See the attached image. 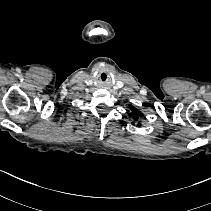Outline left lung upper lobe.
Instances as JSON below:
<instances>
[{
    "label": "left lung upper lobe",
    "mask_w": 211,
    "mask_h": 211,
    "mask_svg": "<svg viewBox=\"0 0 211 211\" xmlns=\"http://www.w3.org/2000/svg\"><path fill=\"white\" fill-rule=\"evenodd\" d=\"M130 109H131V116L134 118V120H138L139 117L143 116V114L136 108L130 107ZM138 126H140V125L138 124Z\"/></svg>",
    "instance_id": "left-lung-upper-lobe-1"
}]
</instances>
